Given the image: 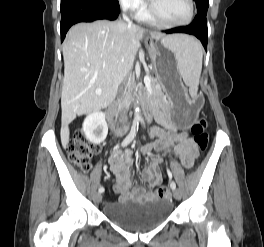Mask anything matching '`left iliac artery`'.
<instances>
[{"instance_id":"obj_1","label":"left iliac artery","mask_w":264,"mask_h":247,"mask_svg":"<svg viewBox=\"0 0 264 247\" xmlns=\"http://www.w3.org/2000/svg\"><path fill=\"white\" fill-rule=\"evenodd\" d=\"M143 123V122H142ZM168 174L170 175V176H172V174H171V172L168 170ZM170 187H171V189L172 190H174V189H176V184H175V182H171L170 183Z\"/></svg>"}]
</instances>
